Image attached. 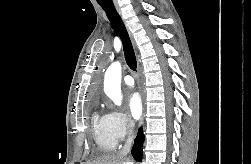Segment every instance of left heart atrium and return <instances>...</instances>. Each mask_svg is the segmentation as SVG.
<instances>
[{"label":"left heart atrium","instance_id":"1","mask_svg":"<svg viewBox=\"0 0 251 164\" xmlns=\"http://www.w3.org/2000/svg\"><path fill=\"white\" fill-rule=\"evenodd\" d=\"M128 110L134 119H138L142 114V101L138 93H131L128 97Z\"/></svg>","mask_w":251,"mask_h":164}]
</instances>
